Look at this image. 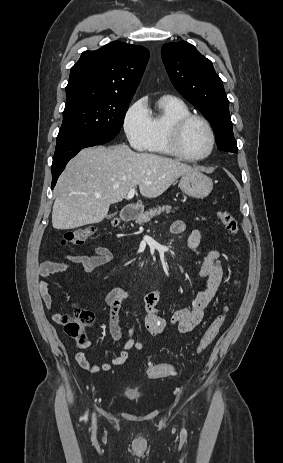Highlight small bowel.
Here are the masks:
<instances>
[{
    "label": "small bowel",
    "instance_id": "c3829d8e",
    "mask_svg": "<svg viewBox=\"0 0 283 463\" xmlns=\"http://www.w3.org/2000/svg\"><path fill=\"white\" fill-rule=\"evenodd\" d=\"M188 231L187 245L191 251V260L201 243V233L198 229H188L187 225L180 220L174 221L171 225V233L173 235H181ZM94 255H65L66 262L45 261L39 268V284L38 292L43 304L48 309L53 308V299L49 292V283L44 279L50 274L68 272L73 268H80L83 273H92L97 268L109 263L113 255L105 246H97ZM196 275L199 278L205 279V285L200 290L191 305L187 308L178 309L174 312L171 319L163 317L158 303L161 298V292L158 289L146 293L143 297L144 309L146 311V327L149 333L153 336H164L171 328H175L180 334H186L193 330L202 320L211 300L215 296L223 279V268L220 261L219 252L211 249L202 263L196 270ZM130 292L116 287L105 298V304L109 310V330L113 341H122L124 343L123 350L116 357L101 364H93L83 352H78L75 355L77 363L86 371L91 373L106 372L114 366H119L125 363L129 357L130 350L143 348V342L135 339L134 327L128 330L127 334L122 330L121 306L122 302L130 298ZM54 321L59 322L62 319V314L53 313ZM89 344L86 342L79 344L81 349H86Z\"/></svg>",
    "mask_w": 283,
    "mask_h": 463
}]
</instances>
